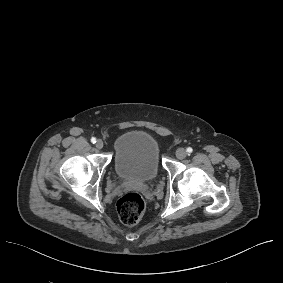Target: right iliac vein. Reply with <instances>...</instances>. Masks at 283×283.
<instances>
[{
	"instance_id": "63e3f726",
	"label": "right iliac vein",
	"mask_w": 283,
	"mask_h": 283,
	"mask_svg": "<svg viewBox=\"0 0 283 283\" xmlns=\"http://www.w3.org/2000/svg\"><path fill=\"white\" fill-rule=\"evenodd\" d=\"M97 149H102L104 146V143L102 140H97L96 144H95Z\"/></svg>"
}]
</instances>
